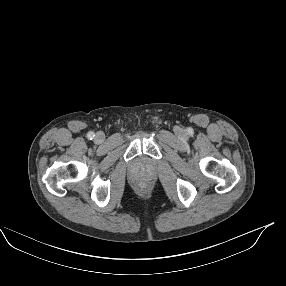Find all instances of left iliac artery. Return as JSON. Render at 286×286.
I'll use <instances>...</instances> for the list:
<instances>
[{
    "label": "left iliac artery",
    "instance_id": "obj_1",
    "mask_svg": "<svg viewBox=\"0 0 286 286\" xmlns=\"http://www.w3.org/2000/svg\"><path fill=\"white\" fill-rule=\"evenodd\" d=\"M188 132H189V133H192V132H193V130H192V129H188Z\"/></svg>",
    "mask_w": 286,
    "mask_h": 286
}]
</instances>
